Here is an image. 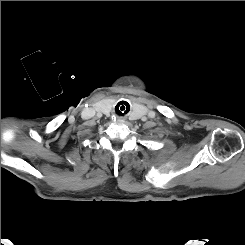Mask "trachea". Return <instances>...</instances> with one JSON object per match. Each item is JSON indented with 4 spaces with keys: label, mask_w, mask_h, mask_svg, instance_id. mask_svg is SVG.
Here are the masks:
<instances>
[{
    "label": "trachea",
    "mask_w": 245,
    "mask_h": 245,
    "mask_svg": "<svg viewBox=\"0 0 245 245\" xmlns=\"http://www.w3.org/2000/svg\"><path fill=\"white\" fill-rule=\"evenodd\" d=\"M131 109L130 104L127 101H120L116 106H115V111L116 114L119 116H124L126 115Z\"/></svg>",
    "instance_id": "1"
}]
</instances>
